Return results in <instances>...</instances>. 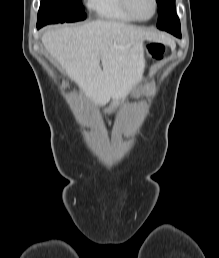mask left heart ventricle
Wrapping results in <instances>:
<instances>
[{"label":"left heart ventricle","mask_w":219,"mask_h":258,"mask_svg":"<svg viewBox=\"0 0 219 258\" xmlns=\"http://www.w3.org/2000/svg\"><path fill=\"white\" fill-rule=\"evenodd\" d=\"M134 13L140 18H148L153 13L152 0H130Z\"/></svg>","instance_id":"b2bd125f"}]
</instances>
